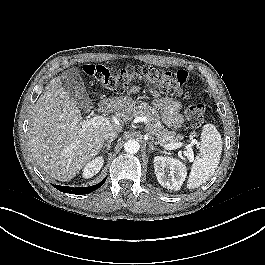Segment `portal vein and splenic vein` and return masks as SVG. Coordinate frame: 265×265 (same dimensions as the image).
<instances>
[{"mask_svg":"<svg viewBox=\"0 0 265 265\" xmlns=\"http://www.w3.org/2000/svg\"><path fill=\"white\" fill-rule=\"evenodd\" d=\"M107 123H108L107 118L98 115V116H94L93 118L83 120L81 122V125H82V128L85 129V128L92 126V125H106ZM182 146H183L182 142H177V143H173V144H166V145H164V148L167 150H174V149H178ZM186 147H187V155L190 157V159H192L193 158V151H192L191 145H188Z\"/></svg>","mask_w":265,"mask_h":265,"instance_id":"1","label":"portal vein and splenic vein"}]
</instances>
